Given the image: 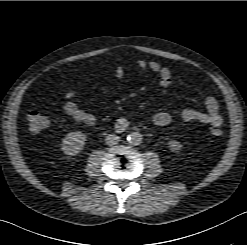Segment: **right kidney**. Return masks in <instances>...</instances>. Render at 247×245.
<instances>
[{
  "instance_id": "obj_1",
  "label": "right kidney",
  "mask_w": 247,
  "mask_h": 245,
  "mask_svg": "<svg viewBox=\"0 0 247 245\" xmlns=\"http://www.w3.org/2000/svg\"><path fill=\"white\" fill-rule=\"evenodd\" d=\"M86 138V135L79 131L66 134L62 141V151L72 156L79 154L84 149Z\"/></svg>"
}]
</instances>
